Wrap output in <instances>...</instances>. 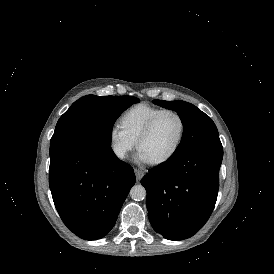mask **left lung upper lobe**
I'll use <instances>...</instances> for the list:
<instances>
[{
	"label": "left lung upper lobe",
	"mask_w": 274,
	"mask_h": 274,
	"mask_svg": "<svg viewBox=\"0 0 274 274\" xmlns=\"http://www.w3.org/2000/svg\"><path fill=\"white\" fill-rule=\"evenodd\" d=\"M153 102L176 111L183 124L181 143L171 157L186 154L200 146L221 144L214 122L196 106L184 101L153 100Z\"/></svg>",
	"instance_id": "1"
}]
</instances>
